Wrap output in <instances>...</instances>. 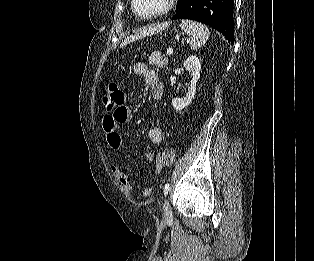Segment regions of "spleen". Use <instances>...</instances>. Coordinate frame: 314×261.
Returning <instances> with one entry per match:
<instances>
[{"mask_svg": "<svg viewBox=\"0 0 314 261\" xmlns=\"http://www.w3.org/2000/svg\"><path fill=\"white\" fill-rule=\"evenodd\" d=\"M179 26L190 37V47L193 50L201 48L209 39L210 31L202 23L191 20H182Z\"/></svg>", "mask_w": 314, "mask_h": 261, "instance_id": "1", "label": "spleen"}]
</instances>
